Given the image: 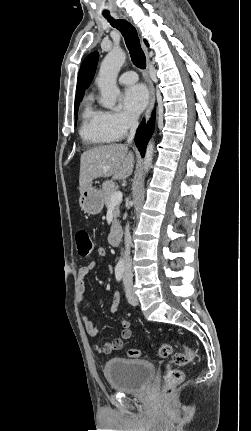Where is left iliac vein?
<instances>
[{"label":"left iliac vein","instance_id":"1","mask_svg":"<svg viewBox=\"0 0 251 431\" xmlns=\"http://www.w3.org/2000/svg\"><path fill=\"white\" fill-rule=\"evenodd\" d=\"M126 297H127L128 302L131 305H133V306L138 305V302H139L138 298L130 286H126Z\"/></svg>","mask_w":251,"mask_h":431}]
</instances>
